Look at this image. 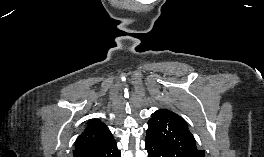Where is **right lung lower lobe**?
I'll use <instances>...</instances> for the list:
<instances>
[{"label":"right lung lower lobe","instance_id":"1","mask_svg":"<svg viewBox=\"0 0 264 157\" xmlns=\"http://www.w3.org/2000/svg\"><path fill=\"white\" fill-rule=\"evenodd\" d=\"M79 157H121V156H120V150L117 149L115 140L112 139L97 148L82 153Z\"/></svg>","mask_w":264,"mask_h":157}]
</instances>
